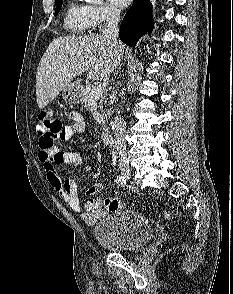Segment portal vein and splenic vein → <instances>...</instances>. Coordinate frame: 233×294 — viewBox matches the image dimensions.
I'll return each instance as SVG.
<instances>
[{
	"mask_svg": "<svg viewBox=\"0 0 233 294\" xmlns=\"http://www.w3.org/2000/svg\"><path fill=\"white\" fill-rule=\"evenodd\" d=\"M91 93H92L93 97H95V98L100 97L103 93V87L101 85H97V86L93 87Z\"/></svg>",
	"mask_w": 233,
	"mask_h": 294,
	"instance_id": "18ae733b",
	"label": "portal vein and splenic vein"
}]
</instances>
